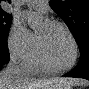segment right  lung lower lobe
Listing matches in <instances>:
<instances>
[{"instance_id": "1", "label": "right lung lower lobe", "mask_w": 89, "mask_h": 89, "mask_svg": "<svg viewBox=\"0 0 89 89\" xmlns=\"http://www.w3.org/2000/svg\"><path fill=\"white\" fill-rule=\"evenodd\" d=\"M9 61V52L7 47V39L0 43V69Z\"/></svg>"}]
</instances>
